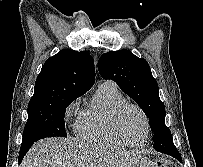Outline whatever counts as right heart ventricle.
Here are the masks:
<instances>
[{
	"label": "right heart ventricle",
	"instance_id": "1",
	"mask_svg": "<svg viewBox=\"0 0 203 167\" xmlns=\"http://www.w3.org/2000/svg\"><path fill=\"white\" fill-rule=\"evenodd\" d=\"M126 101L115 84L99 85L90 103L82 110L75 125L77 137L89 143L125 146L110 130L109 121L119 104Z\"/></svg>",
	"mask_w": 203,
	"mask_h": 167
}]
</instances>
